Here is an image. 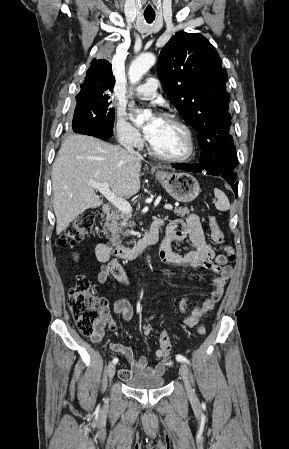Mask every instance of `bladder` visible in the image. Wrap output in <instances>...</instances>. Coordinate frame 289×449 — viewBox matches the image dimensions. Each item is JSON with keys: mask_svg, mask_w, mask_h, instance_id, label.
I'll return each mask as SVG.
<instances>
[{"mask_svg": "<svg viewBox=\"0 0 289 449\" xmlns=\"http://www.w3.org/2000/svg\"><path fill=\"white\" fill-rule=\"evenodd\" d=\"M125 384L133 389H156L163 387L166 384V379L162 375L138 373L126 380Z\"/></svg>", "mask_w": 289, "mask_h": 449, "instance_id": "31cf9c89", "label": "bladder"}]
</instances>
